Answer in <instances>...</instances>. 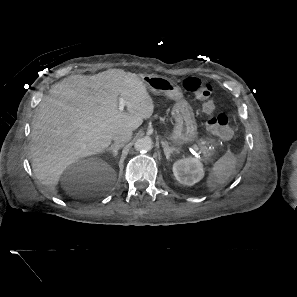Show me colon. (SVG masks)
<instances>
[{
  "mask_svg": "<svg viewBox=\"0 0 297 297\" xmlns=\"http://www.w3.org/2000/svg\"><path fill=\"white\" fill-rule=\"evenodd\" d=\"M182 86L202 101L203 111L209 116L208 129L218 137L229 138L232 133L229 118L225 113L215 112V105L211 98L213 92L211 84L196 77H188L184 79Z\"/></svg>",
  "mask_w": 297,
  "mask_h": 297,
  "instance_id": "obj_1",
  "label": "colon"
}]
</instances>
